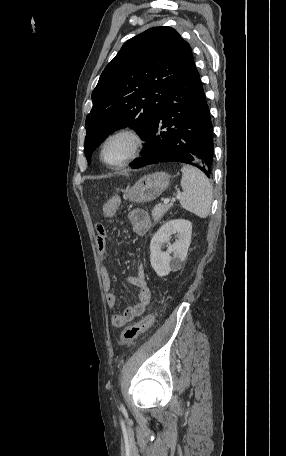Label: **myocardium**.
<instances>
[{
	"instance_id": "f54148a6",
	"label": "myocardium",
	"mask_w": 286,
	"mask_h": 456,
	"mask_svg": "<svg viewBox=\"0 0 286 456\" xmlns=\"http://www.w3.org/2000/svg\"><path fill=\"white\" fill-rule=\"evenodd\" d=\"M119 135L131 136L135 140V144H136L135 150L132 153V155L130 157H128L126 160H124L123 162L118 163V164H111V163H108L104 159L105 147L112 138L119 136ZM145 146H146V138H145L144 134L138 128L132 127V126L122 127V128H119V129L113 131L105 138V140L103 141L102 146H101L100 158H101V161L109 168H114V169L121 168V167H124V166L130 164L135 159H137L141 155L143 150L145 149Z\"/></svg>"
}]
</instances>
